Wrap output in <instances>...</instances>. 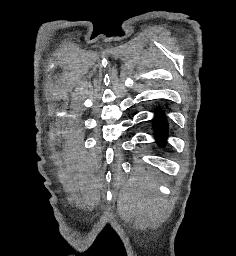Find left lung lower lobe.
I'll use <instances>...</instances> for the list:
<instances>
[{
    "instance_id": "0a47b994",
    "label": "left lung lower lobe",
    "mask_w": 236,
    "mask_h": 256,
    "mask_svg": "<svg viewBox=\"0 0 236 256\" xmlns=\"http://www.w3.org/2000/svg\"><path fill=\"white\" fill-rule=\"evenodd\" d=\"M155 131H156V136L158 140H165L167 136V123L165 121V118L163 117L162 114H158L156 119H155ZM163 145V143H160Z\"/></svg>"
}]
</instances>
